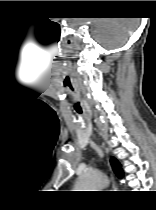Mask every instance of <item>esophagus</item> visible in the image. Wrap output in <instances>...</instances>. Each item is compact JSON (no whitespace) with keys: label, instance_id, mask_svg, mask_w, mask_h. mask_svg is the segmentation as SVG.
<instances>
[{"label":"esophagus","instance_id":"34e87169","mask_svg":"<svg viewBox=\"0 0 156 210\" xmlns=\"http://www.w3.org/2000/svg\"><path fill=\"white\" fill-rule=\"evenodd\" d=\"M110 181H111V190L116 189V187H117V185H116V180H115L114 175H112V174H111V176H110Z\"/></svg>","mask_w":156,"mask_h":210}]
</instances>
